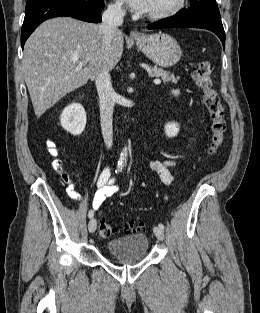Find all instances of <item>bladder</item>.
<instances>
[{"label": "bladder", "instance_id": "1", "mask_svg": "<svg viewBox=\"0 0 260 313\" xmlns=\"http://www.w3.org/2000/svg\"><path fill=\"white\" fill-rule=\"evenodd\" d=\"M108 254L124 264H134L148 255L149 239L138 233L110 240L106 244Z\"/></svg>", "mask_w": 260, "mask_h": 313}]
</instances>
